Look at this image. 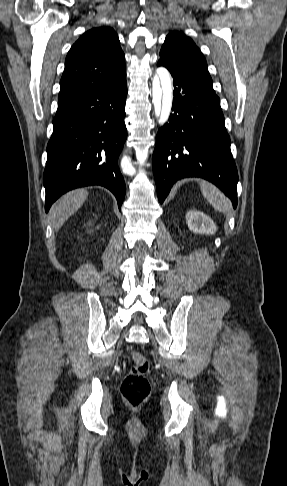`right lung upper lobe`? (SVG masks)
<instances>
[{
    "instance_id": "cb5924a9",
    "label": "right lung upper lobe",
    "mask_w": 287,
    "mask_h": 486,
    "mask_svg": "<svg viewBox=\"0 0 287 486\" xmlns=\"http://www.w3.org/2000/svg\"><path fill=\"white\" fill-rule=\"evenodd\" d=\"M126 78L125 55L110 27L85 32L71 47L60 80L58 106Z\"/></svg>"
}]
</instances>
